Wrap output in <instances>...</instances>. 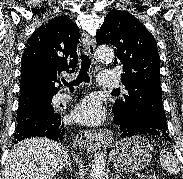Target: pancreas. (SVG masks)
Returning <instances> with one entry per match:
<instances>
[{"instance_id": "cf45deb5", "label": "pancreas", "mask_w": 183, "mask_h": 179, "mask_svg": "<svg viewBox=\"0 0 183 179\" xmlns=\"http://www.w3.org/2000/svg\"><path fill=\"white\" fill-rule=\"evenodd\" d=\"M148 179H160L159 176H151Z\"/></svg>"}]
</instances>
